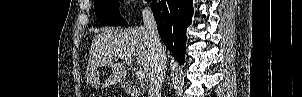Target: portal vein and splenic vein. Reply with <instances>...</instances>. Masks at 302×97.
Returning <instances> with one entry per match:
<instances>
[{
	"instance_id": "1",
	"label": "portal vein and splenic vein",
	"mask_w": 302,
	"mask_h": 97,
	"mask_svg": "<svg viewBox=\"0 0 302 97\" xmlns=\"http://www.w3.org/2000/svg\"><path fill=\"white\" fill-rule=\"evenodd\" d=\"M119 58L127 61L128 63H132V61H133L132 57H127L124 55L119 56ZM136 77L138 80H143L145 78V74L143 71L138 70V71H136Z\"/></svg>"
}]
</instances>
